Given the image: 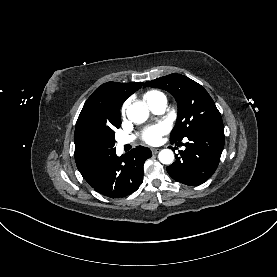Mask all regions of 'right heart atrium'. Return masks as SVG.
<instances>
[{"label": "right heart atrium", "mask_w": 277, "mask_h": 277, "mask_svg": "<svg viewBox=\"0 0 277 277\" xmlns=\"http://www.w3.org/2000/svg\"><path fill=\"white\" fill-rule=\"evenodd\" d=\"M126 106H127V104L125 103L124 106H123V108H122V113L125 112Z\"/></svg>", "instance_id": "right-heart-atrium-1"}]
</instances>
